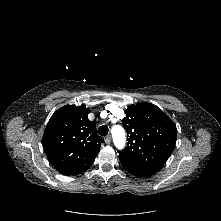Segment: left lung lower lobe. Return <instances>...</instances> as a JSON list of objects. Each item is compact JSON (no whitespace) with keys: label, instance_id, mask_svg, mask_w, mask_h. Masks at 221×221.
<instances>
[{"label":"left lung lower lobe","instance_id":"0a47b994","mask_svg":"<svg viewBox=\"0 0 221 221\" xmlns=\"http://www.w3.org/2000/svg\"><path fill=\"white\" fill-rule=\"evenodd\" d=\"M128 172L133 174L136 177H148L156 174L160 171L161 168L159 167H147L142 169H137L133 167L123 166Z\"/></svg>","mask_w":221,"mask_h":221}]
</instances>
